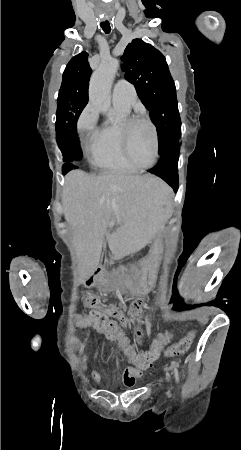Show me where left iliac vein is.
I'll use <instances>...</instances> for the list:
<instances>
[{
	"label": "left iliac vein",
	"mask_w": 241,
	"mask_h": 450,
	"mask_svg": "<svg viewBox=\"0 0 241 450\" xmlns=\"http://www.w3.org/2000/svg\"><path fill=\"white\" fill-rule=\"evenodd\" d=\"M166 378H167V380H170V374L168 372H167Z\"/></svg>",
	"instance_id": "left-iliac-vein-1"
}]
</instances>
